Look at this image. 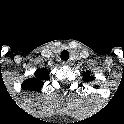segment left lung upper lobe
Masks as SVG:
<instances>
[{"instance_id": "5c2ea615", "label": "left lung upper lobe", "mask_w": 124, "mask_h": 124, "mask_svg": "<svg viewBox=\"0 0 124 124\" xmlns=\"http://www.w3.org/2000/svg\"><path fill=\"white\" fill-rule=\"evenodd\" d=\"M94 80V77L90 74V71H86L83 73V81L85 82H91Z\"/></svg>"}]
</instances>
